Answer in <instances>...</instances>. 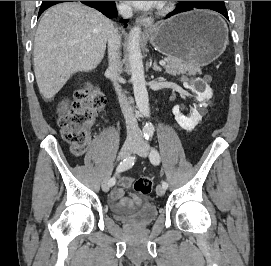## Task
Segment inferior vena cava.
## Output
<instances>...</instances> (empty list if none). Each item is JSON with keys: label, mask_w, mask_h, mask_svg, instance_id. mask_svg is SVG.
Masks as SVG:
<instances>
[{"label": "inferior vena cava", "mask_w": 271, "mask_h": 266, "mask_svg": "<svg viewBox=\"0 0 271 266\" xmlns=\"http://www.w3.org/2000/svg\"><path fill=\"white\" fill-rule=\"evenodd\" d=\"M118 11L124 18H131L133 15L132 8L126 4L118 6ZM120 42L121 37L115 29L108 40V55L109 67L108 72L111 75L115 90L119 96L120 106L126 121L127 140L128 141H141V131L138 127L137 119L134 114L133 108L130 106L125 95L121 92L119 86V75L121 72V58H120Z\"/></svg>", "instance_id": "obj_1"}]
</instances>
